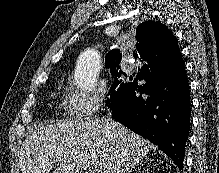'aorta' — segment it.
<instances>
[{"label":"aorta","mask_w":219,"mask_h":173,"mask_svg":"<svg viewBox=\"0 0 219 173\" xmlns=\"http://www.w3.org/2000/svg\"><path fill=\"white\" fill-rule=\"evenodd\" d=\"M100 71V54L95 49L85 50L79 57L77 83L83 90L92 91Z\"/></svg>","instance_id":"obj_1"}]
</instances>
